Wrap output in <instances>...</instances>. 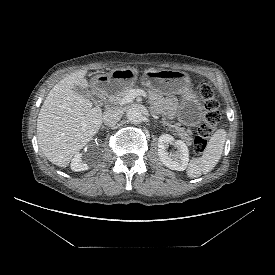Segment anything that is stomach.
<instances>
[{"instance_id":"1","label":"stomach","mask_w":275,"mask_h":275,"mask_svg":"<svg viewBox=\"0 0 275 275\" xmlns=\"http://www.w3.org/2000/svg\"><path fill=\"white\" fill-rule=\"evenodd\" d=\"M135 68H119L108 74H99L92 78L96 91L114 94L130 87L137 80ZM142 83L162 94H183L178 119L187 126H196L203 118V109L199 96L190 88L189 75L184 71L167 69H148L144 72Z\"/></svg>"}]
</instances>
